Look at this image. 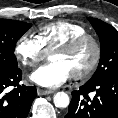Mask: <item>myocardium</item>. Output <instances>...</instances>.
Segmentation results:
<instances>
[{"label": "myocardium", "instance_id": "f54148a6", "mask_svg": "<svg viewBox=\"0 0 118 118\" xmlns=\"http://www.w3.org/2000/svg\"><path fill=\"white\" fill-rule=\"evenodd\" d=\"M86 43H90L93 47V58L83 72L70 75L74 80L88 79L97 69L102 57V46L99 39L91 34L86 33L66 41L53 50V52L71 53Z\"/></svg>", "mask_w": 118, "mask_h": 118}]
</instances>
